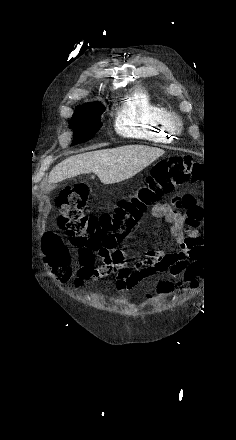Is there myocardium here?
Instances as JSON below:
<instances>
[{
	"label": "myocardium",
	"instance_id": "f54148a6",
	"mask_svg": "<svg viewBox=\"0 0 236 440\" xmlns=\"http://www.w3.org/2000/svg\"><path fill=\"white\" fill-rule=\"evenodd\" d=\"M169 122L175 130L179 129L182 125L180 116L173 112L170 113Z\"/></svg>",
	"mask_w": 236,
	"mask_h": 440
}]
</instances>
